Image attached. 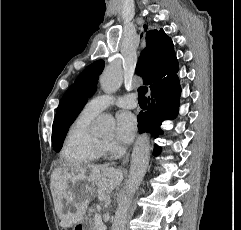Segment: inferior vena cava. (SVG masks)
I'll list each match as a JSON object with an SVG mask.
<instances>
[{"instance_id":"602c4592","label":"inferior vena cava","mask_w":241,"mask_h":230,"mask_svg":"<svg viewBox=\"0 0 241 230\" xmlns=\"http://www.w3.org/2000/svg\"><path fill=\"white\" fill-rule=\"evenodd\" d=\"M124 152H125V148L120 147V148H119V150H118V154H117V156H116V157L121 156V155H122Z\"/></svg>"}]
</instances>
